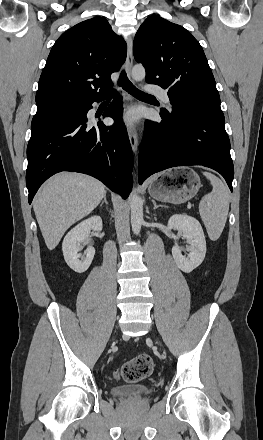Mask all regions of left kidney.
<instances>
[{"label": "left kidney", "instance_id": "left-kidney-1", "mask_svg": "<svg viewBox=\"0 0 263 440\" xmlns=\"http://www.w3.org/2000/svg\"><path fill=\"white\" fill-rule=\"evenodd\" d=\"M169 230L181 231L189 243L188 257H184L181 249L174 245L172 255L178 268L190 273L197 268L204 260L206 254V241L201 224L197 219L185 214H176L170 217L167 225Z\"/></svg>", "mask_w": 263, "mask_h": 440}]
</instances>
